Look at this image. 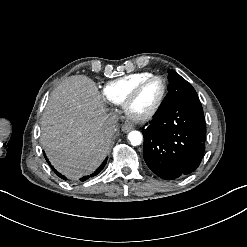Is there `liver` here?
I'll return each instance as SVG.
<instances>
[{"label":"liver","instance_id":"1","mask_svg":"<svg viewBox=\"0 0 247 247\" xmlns=\"http://www.w3.org/2000/svg\"><path fill=\"white\" fill-rule=\"evenodd\" d=\"M106 112L98 87L87 76H71L52 92L40 140L60 173L76 180L102 163L114 135Z\"/></svg>","mask_w":247,"mask_h":247}]
</instances>
